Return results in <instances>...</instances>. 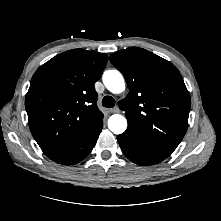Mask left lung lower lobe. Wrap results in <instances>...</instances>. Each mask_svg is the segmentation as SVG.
<instances>
[{
  "instance_id": "obj_1",
  "label": "left lung lower lobe",
  "mask_w": 221,
  "mask_h": 221,
  "mask_svg": "<svg viewBox=\"0 0 221 221\" xmlns=\"http://www.w3.org/2000/svg\"><path fill=\"white\" fill-rule=\"evenodd\" d=\"M117 140L124 155L138 165L160 163L172 153L149 145L129 127Z\"/></svg>"
}]
</instances>
